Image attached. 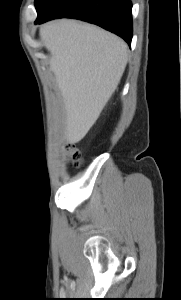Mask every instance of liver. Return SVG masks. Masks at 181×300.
Segmentation results:
<instances>
[{
	"instance_id": "liver-1",
	"label": "liver",
	"mask_w": 181,
	"mask_h": 300,
	"mask_svg": "<svg viewBox=\"0 0 181 300\" xmlns=\"http://www.w3.org/2000/svg\"><path fill=\"white\" fill-rule=\"evenodd\" d=\"M40 33L64 99L65 137L75 144L116 90L128 60L127 45L110 32L73 20L46 24Z\"/></svg>"
}]
</instances>
